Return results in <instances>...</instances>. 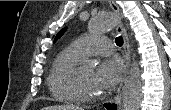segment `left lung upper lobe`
<instances>
[{
    "label": "left lung upper lobe",
    "mask_w": 171,
    "mask_h": 110,
    "mask_svg": "<svg viewBox=\"0 0 171 110\" xmlns=\"http://www.w3.org/2000/svg\"><path fill=\"white\" fill-rule=\"evenodd\" d=\"M65 31H66V28H63V29L56 35L54 41H56L57 39H59V38L63 35V33H64Z\"/></svg>",
    "instance_id": "1"
}]
</instances>
